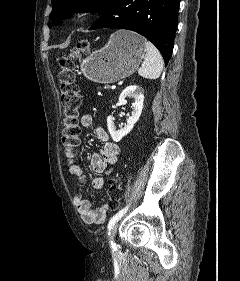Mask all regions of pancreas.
Instances as JSON below:
<instances>
[{
  "mask_svg": "<svg viewBox=\"0 0 240 281\" xmlns=\"http://www.w3.org/2000/svg\"><path fill=\"white\" fill-rule=\"evenodd\" d=\"M107 88H108L107 86L104 87V89H107Z\"/></svg>",
  "mask_w": 240,
  "mask_h": 281,
  "instance_id": "obj_1",
  "label": "pancreas"
}]
</instances>
